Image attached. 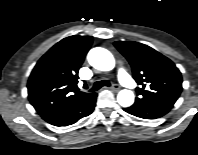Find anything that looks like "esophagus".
Here are the masks:
<instances>
[{
	"label": "esophagus",
	"mask_w": 198,
	"mask_h": 155,
	"mask_svg": "<svg viewBox=\"0 0 198 155\" xmlns=\"http://www.w3.org/2000/svg\"><path fill=\"white\" fill-rule=\"evenodd\" d=\"M111 90L113 91H119L120 90V86L118 84H114L112 87H111Z\"/></svg>",
	"instance_id": "1"
}]
</instances>
